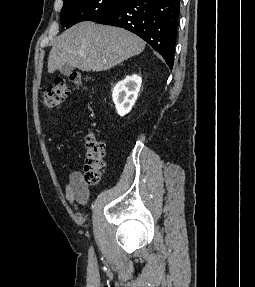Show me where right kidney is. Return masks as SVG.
Masks as SVG:
<instances>
[{"instance_id":"right-kidney-1","label":"right kidney","mask_w":255,"mask_h":287,"mask_svg":"<svg viewBox=\"0 0 255 287\" xmlns=\"http://www.w3.org/2000/svg\"><path fill=\"white\" fill-rule=\"evenodd\" d=\"M141 84L140 76L133 74V76H126L125 80H121L114 86L112 98L119 116H125L130 112L137 100Z\"/></svg>"}]
</instances>
